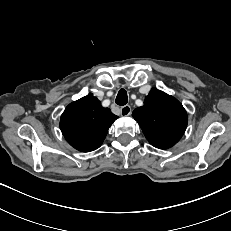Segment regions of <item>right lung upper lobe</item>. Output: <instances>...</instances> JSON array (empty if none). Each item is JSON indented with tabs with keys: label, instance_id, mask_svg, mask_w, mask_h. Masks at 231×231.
Here are the masks:
<instances>
[{
	"label": "right lung upper lobe",
	"instance_id": "obj_1",
	"mask_svg": "<svg viewBox=\"0 0 231 231\" xmlns=\"http://www.w3.org/2000/svg\"><path fill=\"white\" fill-rule=\"evenodd\" d=\"M117 119L109 108L89 94L69 104L60 120V129L67 142L75 149L90 152L101 146L107 131Z\"/></svg>",
	"mask_w": 231,
	"mask_h": 231
}]
</instances>
